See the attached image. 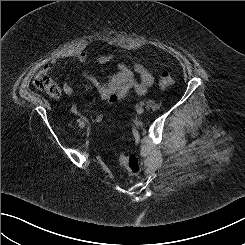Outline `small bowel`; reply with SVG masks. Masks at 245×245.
<instances>
[{
    "instance_id": "1",
    "label": "small bowel",
    "mask_w": 245,
    "mask_h": 245,
    "mask_svg": "<svg viewBox=\"0 0 245 245\" xmlns=\"http://www.w3.org/2000/svg\"><path fill=\"white\" fill-rule=\"evenodd\" d=\"M110 56H102L97 60L102 64L109 61ZM88 60V56L85 53H81L77 56V61L81 64H85ZM52 66L57 64L56 59L50 61ZM47 67H45L46 69ZM82 76L96 89L99 96L108 103L116 102L127 96L131 89H134L136 93L144 95L148 92L153 84V76L151 73L140 63H136L130 66L127 63H120L115 73L111 74L107 82L100 81L96 76L88 71H83ZM137 76L139 78H137ZM62 91L67 96H73L75 93L74 88L69 83H64ZM72 111L75 114H79L77 107L74 105ZM103 119V115L95 114L91 120L94 123H98Z\"/></svg>"
}]
</instances>
